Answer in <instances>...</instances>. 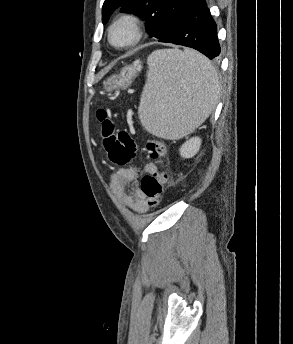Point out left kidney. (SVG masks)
Returning a JSON list of instances; mask_svg holds the SVG:
<instances>
[{"label": "left kidney", "instance_id": "1", "mask_svg": "<svg viewBox=\"0 0 293 344\" xmlns=\"http://www.w3.org/2000/svg\"><path fill=\"white\" fill-rule=\"evenodd\" d=\"M201 139L199 137H193L187 140L180 148V155L183 158H192L200 150Z\"/></svg>", "mask_w": 293, "mask_h": 344}]
</instances>
